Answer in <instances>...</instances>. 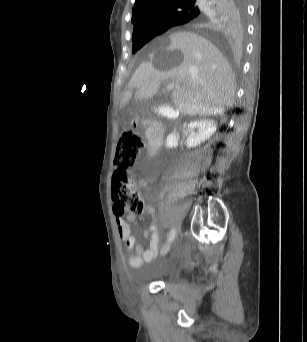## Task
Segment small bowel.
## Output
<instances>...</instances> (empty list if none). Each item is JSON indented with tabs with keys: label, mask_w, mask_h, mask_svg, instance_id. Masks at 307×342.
I'll use <instances>...</instances> for the list:
<instances>
[{
	"label": "small bowel",
	"mask_w": 307,
	"mask_h": 342,
	"mask_svg": "<svg viewBox=\"0 0 307 342\" xmlns=\"http://www.w3.org/2000/svg\"><path fill=\"white\" fill-rule=\"evenodd\" d=\"M154 213L151 207L147 208V214L152 215ZM129 221L118 216L116 217L117 232L121 240L124 242L125 249L128 253V263L132 268H139L144 263L151 262L158 254L159 249V234L157 232L156 225H151L144 231V237L149 239V248L147 250L142 249L132 236L131 227Z\"/></svg>",
	"instance_id": "1"
}]
</instances>
